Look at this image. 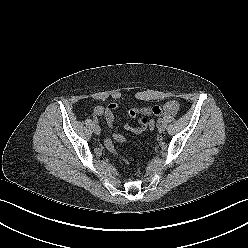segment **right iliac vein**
<instances>
[{
    "label": "right iliac vein",
    "instance_id": "1",
    "mask_svg": "<svg viewBox=\"0 0 248 248\" xmlns=\"http://www.w3.org/2000/svg\"><path fill=\"white\" fill-rule=\"evenodd\" d=\"M93 131H94V133L97 134V135L100 134V133H101V128H100V126H99V125H95Z\"/></svg>",
    "mask_w": 248,
    "mask_h": 248
}]
</instances>
